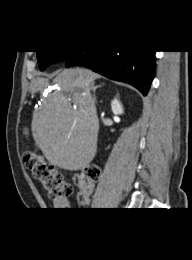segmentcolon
<instances>
[{"instance_id": "1", "label": "colon", "mask_w": 192, "mask_h": 260, "mask_svg": "<svg viewBox=\"0 0 192 260\" xmlns=\"http://www.w3.org/2000/svg\"><path fill=\"white\" fill-rule=\"evenodd\" d=\"M25 166L30 170L52 200L68 198L72 193L71 185L65 181L63 175L40 154L34 150H26L23 157ZM100 176V170L96 166L84 169L76 176L79 188L78 201L86 203L88 195L92 192L96 181Z\"/></svg>"}]
</instances>
